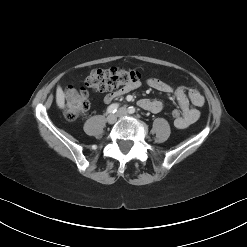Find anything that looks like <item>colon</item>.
<instances>
[{
	"label": "colon",
	"instance_id": "obj_1",
	"mask_svg": "<svg viewBox=\"0 0 247 247\" xmlns=\"http://www.w3.org/2000/svg\"><path fill=\"white\" fill-rule=\"evenodd\" d=\"M140 79V74L134 70L112 67L96 69L83 80V86L76 88L68 86L65 89L64 116L68 121H75L86 114L89 109L87 88L104 92L123 88ZM174 121L181 117V112L174 109L171 113Z\"/></svg>",
	"mask_w": 247,
	"mask_h": 247
}]
</instances>
